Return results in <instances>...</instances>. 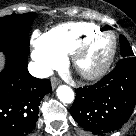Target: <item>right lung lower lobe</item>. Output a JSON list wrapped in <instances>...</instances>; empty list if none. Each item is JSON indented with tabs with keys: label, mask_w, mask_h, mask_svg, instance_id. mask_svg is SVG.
Listing matches in <instances>:
<instances>
[{
	"label": "right lung lower lobe",
	"mask_w": 136,
	"mask_h": 136,
	"mask_svg": "<svg viewBox=\"0 0 136 136\" xmlns=\"http://www.w3.org/2000/svg\"><path fill=\"white\" fill-rule=\"evenodd\" d=\"M0 72V136H26L38 118L42 98L51 92L48 79H37L27 70V55L4 52Z\"/></svg>",
	"instance_id": "1"
}]
</instances>
